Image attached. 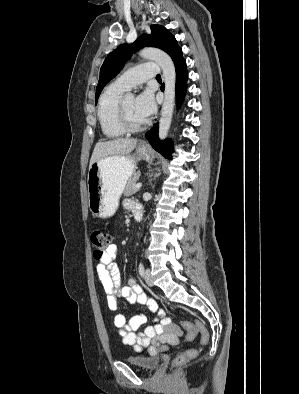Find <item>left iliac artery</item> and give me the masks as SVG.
<instances>
[{"mask_svg":"<svg viewBox=\"0 0 299 394\" xmlns=\"http://www.w3.org/2000/svg\"><path fill=\"white\" fill-rule=\"evenodd\" d=\"M138 271H139L140 276L143 277L144 273H145V269H144V265L142 262L139 263Z\"/></svg>","mask_w":299,"mask_h":394,"instance_id":"obj_1","label":"left iliac artery"}]
</instances>
